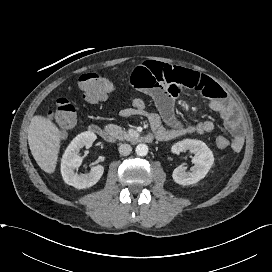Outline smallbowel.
Segmentation results:
<instances>
[{"instance_id":"c3829d8e","label":"small bowel","mask_w":272,"mask_h":272,"mask_svg":"<svg viewBox=\"0 0 272 272\" xmlns=\"http://www.w3.org/2000/svg\"><path fill=\"white\" fill-rule=\"evenodd\" d=\"M130 80L133 86L153 99L158 113L128 107L120 111V116L145 117L157 140L169 141L214 130L215 125L211 120L185 123L176 116L175 97L187 91H197L208 98L210 108L223 118L226 129L232 135L231 148L236 152L243 148L244 135L235 105L223 88L210 78L186 68L146 61L133 70Z\"/></svg>"}]
</instances>
